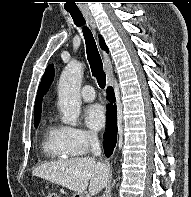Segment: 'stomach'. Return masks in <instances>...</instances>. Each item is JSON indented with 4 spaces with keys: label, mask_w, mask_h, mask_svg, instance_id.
I'll list each match as a JSON object with an SVG mask.
<instances>
[{
    "label": "stomach",
    "mask_w": 191,
    "mask_h": 197,
    "mask_svg": "<svg viewBox=\"0 0 191 197\" xmlns=\"http://www.w3.org/2000/svg\"><path fill=\"white\" fill-rule=\"evenodd\" d=\"M73 197H82V195H80V194H78V193H75V194L73 195Z\"/></svg>",
    "instance_id": "1"
}]
</instances>
